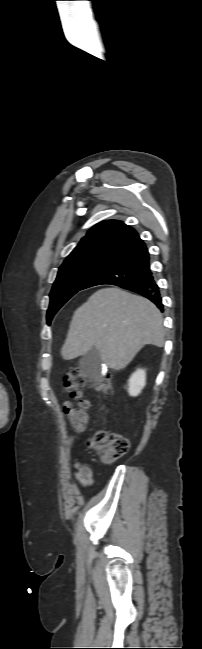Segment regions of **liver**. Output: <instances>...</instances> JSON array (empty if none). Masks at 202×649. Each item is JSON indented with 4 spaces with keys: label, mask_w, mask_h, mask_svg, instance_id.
<instances>
[{
    "label": "liver",
    "mask_w": 202,
    "mask_h": 649,
    "mask_svg": "<svg viewBox=\"0 0 202 649\" xmlns=\"http://www.w3.org/2000/svg\"><path fill=\"white\" fill-rule=\"evenodd\" d=\"M164 336L156 305L117 287L104 288L75 310L61 354L72 360L95 346L107 367L121 370L145 345L163 347Z\"/></svg>",
    "instance_id": "6515ba94"
}]
</instances>
